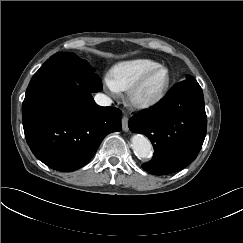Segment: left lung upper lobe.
<instances>
[{"label":"left lung upper lobe","instance_id":"left-lung-upper-lobe-1","mask_svg":"<svg viewBox=\"0 0 243 243\" xmlns=\"http://www.w3.org/2000/svg\"><path fill=\"white\" fill-rule=\"evenodd\" d=\"M187 79H193L191 76H188Z\"/></svg>","mask_w":243,"mask_h":243}]
</instances>
